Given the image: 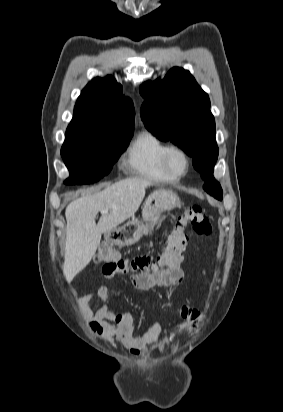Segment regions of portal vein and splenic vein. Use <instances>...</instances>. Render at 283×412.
<instances>
[{"label": "portal vein and splenic vein", "mask_w": 283, "mask_h": 412, "mask_svg": "<svg viewBox=\"0 0 283 412\" xmlns=\"http://www.w3.org/2000/svg\"><path fill=\"white\" fill-rule=\"evenodd\" d=\"M100 212H101V214H106V213H108V210L105 209V210H101Z\"/></svg>", "instance_id": "1"}]
</instances>
